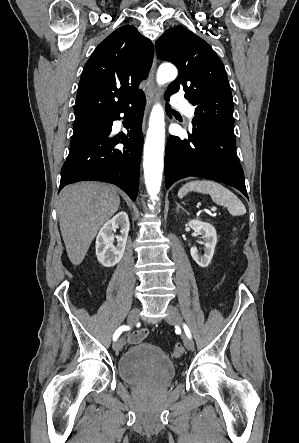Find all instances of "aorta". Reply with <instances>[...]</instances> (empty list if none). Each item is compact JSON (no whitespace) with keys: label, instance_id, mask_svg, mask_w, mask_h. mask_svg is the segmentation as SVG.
I'll return each mask as SVG.
<instances>
[{"label":"aorta","instance_id":"aorta-1","mask_svg":"<svg viewBox=\"0 0 299 443\" xmlns=\"http://www.w3.org/2000/svg\"><path fill=\"white\" fill-rule=\"evenodd\" d=\"M177 77V69L171 64H162L156 75L157 83L163 85ZM164 110L160 104L154 105L149 119V128L144 145V178L147 192L153 203L158 201L162 182L165 149Z\"/></svg>","mask_w":299,"mask_h":443}]
</instances>
